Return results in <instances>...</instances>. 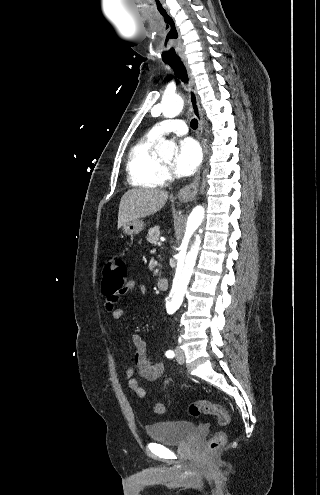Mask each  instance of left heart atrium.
I'll return each mask as SVG.
<instances>
[{"mask_svg":"<svg viewBox=\"0 0 320 495\" xmlns=\"http://www.w3.org/2000/svg\"><path fill=\"white\" fill-rule=\"evenodd\" d=\"M201 157V149L195 140L190 138L182 140L173 162L174 172L179 176L192 175L200 165Z\"/></svg>","mask_w":320,"mask_h":495,"instance_id":"left-heart-atrium-1","label":"left heart atrium"}]
</instances>
